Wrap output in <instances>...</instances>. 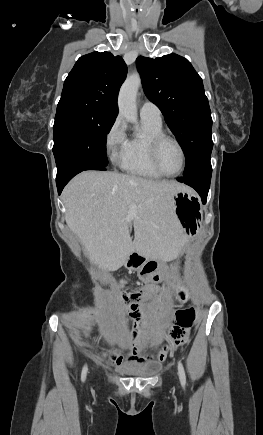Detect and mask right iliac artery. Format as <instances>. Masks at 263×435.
<instances>
[{"label": "right iliac artery", "mask_w": 263, "mask_h": 435, "mask_svg": "<svg viewBox=\"0 0 263 435\" xmlns=\"http://www.w3.org/2000/svg\"><path fill=\"white\" fill-rule=\"evenodd\" d=\"M87 366H84L83 367V370H82V374H81V379H82V381H84L85 380V378H86V374H87Z\"/></svg>", "instance_id": "82829eb1"}]
</instances>
